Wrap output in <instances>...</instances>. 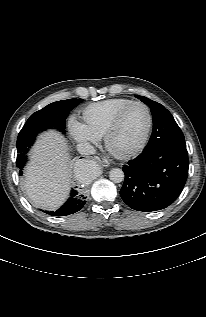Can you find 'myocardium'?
<instances>
[{"mask_svg":"<svg viewBox=\"0 0 206 317\" xmlns=\"http://www.w3.org/2000/svg\"><path fill=\"white\" fill-rule=\"evenodd\" d=\"M136 105H140V106L144 107V109L146 110V114H147V127H146L145 133L143 135V138H142L141 142L133 149H130V150L124 151V152L116 151L111 145V138H112L113 134L115 133V131L117 130V128L119 127V125H120L124 115L127 113V111ZM152 125H153V119H152V114H151V110H150L149 106L141 101H133L130 104H128L127 106L123 107L114 116L113 120L111 121L110 125L108 126V128L103 136L104 146L110 154H112L113 156H115L119 159L132 158V157L138 155L146 147V145L149 141V138H150Z\"/></svg>","mask_w":206,"mask_h":317,"instance_id":"f54148a6","label":"myocardium"}]
</instances>
